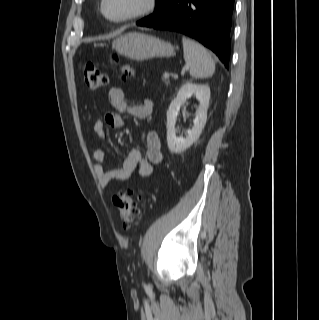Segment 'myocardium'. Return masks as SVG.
<instances>
[{"label": "myocardium", "mask_w": 319, "mask_h": 320, "mask_svg": "<svg viewBox=\"0 0 319 320\" xmlns=\"http://www.w3.org/2000/svg\"><path fill=\"white\" fill-rule=\"evenodd\" d=\"M106 1L107 0H100V11L102 15L105 17V19L115 24H123V23H127L130 21H134V20L149 16L156 10L158 6V0H145L144 5L140 9L134 11L133 13L126 15L122 18H113L109 16L106 12V9H105Z\"/></svg>", "instance_id": "obj_1"}]
</instances>
